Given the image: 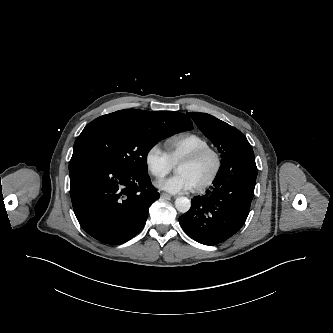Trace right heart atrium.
Returning a JSON list of instances; mask_svg holds the SVG:
<instances>
[{"label":"right heart atrium","instance_id":"d8ad5b80","mask_svg":"<svg viewBox=\"0 0 333 333\" xmlns=\"http://www.w3.org/2000/svg\"><path fill=\"white\" fill-rule=\"evenodd\" d=\"M144 160L148 172L156 179L164 178L173 168L169 156L157 144L148 148Z\"/></svg>","mask_w":333,"mask_h":333}]
</instances>
